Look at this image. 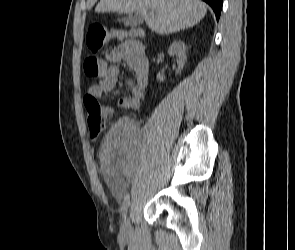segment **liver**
<instances>
[{
    "mask_svg": "<svg viewBox=\"0 0 295 250\" xmlns=\"http://www.w3.org/2000/svg\"><path fill=\"white\" fill-rule=\"evenodd\" d=\"M150 9L153 11L148 12ZM95 11L138 12L151 31L168 35L198 24L207 13V6L199 0H100Z\"/></svg>",
    "mask_w": 295,
    "mask_h": 250,
    "instance_id": "obj_1",
    "label": "liver"
}]
</instances>
